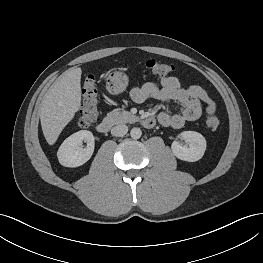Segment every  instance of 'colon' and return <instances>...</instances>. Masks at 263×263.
I'll use <instances>...</instances> for the list:
<instances>
[{
  "label": "colon",
  "instance_id": "5ec220e1",
  "mask_svg": "<svg viewBox=\"0 0 263 263\" xmlns=\"http://www.w3.org/2000/svg\"><path fill=\"white\" fill-rule=\"evenodd\" d=\"M145 67L149 72L158 77H167L174 70L172 64L156 59L147 60ZM81 92L83 96V106L78 114L79 123L82 126L92 125L98 119V89L93 75H88L84 79ZM206 124L212 131L218 130L220 126L219 120L214 115H207Z\"/></svg>",
  "mask_w": 263,
  "mask_h": 263
}]
</instances>
